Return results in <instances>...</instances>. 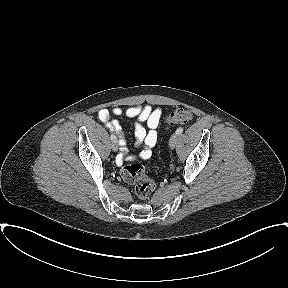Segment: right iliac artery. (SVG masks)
<instances>
[{
	"label": "right iliac artery",
	"instance_id": "obj_1",
	"mask_svg": "<svg viewBox=\"0 0 288 288\" xmlns=\"http://www.w3.org/2000/svg\"><path fill=\"white\" fill-rule=\"evenodd\" d=\"M111 140L113 141V140H116V136L114 135V134H111ZM121 143V142H120Z\"/></svg>",
	"mask_w": 288,
	"mask_h": 288
}]
</instances>
